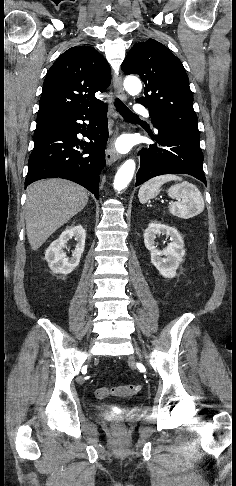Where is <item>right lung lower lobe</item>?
<instances>
[{
    "instance_id": "98d812e1",
    "label": "right lung lower lobe",
    "mask_w": 236,
    "mask_h": 486,
    "mask_svg": "<svg viewBox=\"0 0 236 486\" xmlns=\"http://www.w3.org/2000/svg\"><path fill=\"white\" fill-rule=\"evenodd\" d=\"M80 120L89 121V125L80 124ZM78 133L87 136L90 142H79ZM107 140V105L104 103L37 121L25 187L40 179L64 178L82 185L98 199ZM79 147L83 152L76 150Z\"/></svg>"
}]
</instances>
